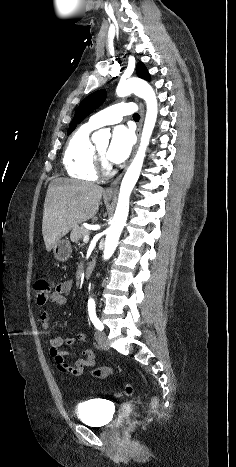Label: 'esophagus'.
Instances as JSON below:
<instances>
[{"mask_svg": "<svg viewBox=\"0 0 236 467\" xmlns=\"http://www.w3.org/2000/svg\"><path fill=\"white\" fill-rule=\"evenodd\" d=\"M140 106V122H139V125H138V129H137V136H138V142H139V138H140V132H141V127H142V123H143V120H144V105L142 103L139 104ZM137 146L138 144L136 145L135 147V150L133 152V156L135 154V151L137 149ZM121 177H122V174L119 175L112 183L111 185L105 190V195H115L116 192H117V188H118V184L121 180Z\"/></svg>", "mask_w": 236, "mask_h": 467, "instance_id": "obj_1", "label": "esophagus"}]
</instances>
